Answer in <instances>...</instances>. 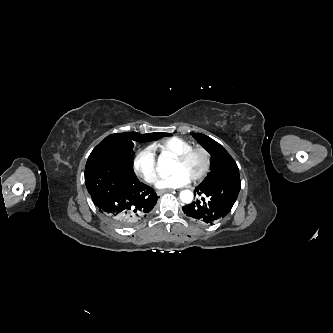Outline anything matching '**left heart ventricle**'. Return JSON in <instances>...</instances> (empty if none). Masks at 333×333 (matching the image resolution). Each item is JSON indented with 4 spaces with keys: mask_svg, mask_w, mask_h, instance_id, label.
<instances>
[{
    "mask_svg": "<svg viewBox=\"0 0 333 333\" xmlns=\"http://www.w3.org/2000/svg\"><path fill=\"white\" fill-rule=\"evenodd\" d=\"M204 157L200 153L192 154L186 162L179 163L177 161L174 162L173 172L182 171L184 172L190 179L196 177L204 167Z\"/></svg>",
    "mask_w": 333,
    "mask_h": 333,
    "instance_id": "obj_1",
    "label": "left heart ventricle"
}]
</instances>
